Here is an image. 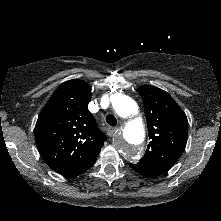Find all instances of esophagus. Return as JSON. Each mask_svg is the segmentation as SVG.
<instances>
[{
    "label": "esophagus",
    "instance_id": "34e87169",
    "mask_svg": "<svg viewBox=\"0 0 221 221\" xmlns=\"http://www.w3.org/2000/svg\"><path fill=\"white\" fill-rule=\"evenodd\" d=\"M119 130H120L119 128L109 127L107 128V135L111 137Z\"/></svg>",
    "mask_w": 221,
    "mask_h": 221
}]
</instances>
